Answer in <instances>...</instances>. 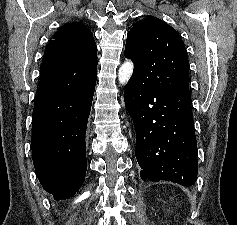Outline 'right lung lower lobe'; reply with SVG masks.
<instances>
[{
    "mask_svg": "<svg viewBox=\"0 0 237 225\" xmlns=\"http://www.w3.org/2000/svg\"><path fill=\"white\" fill-rule=\"evenodd\" d=\"M96 79L59 94L36 96L31 149L36 175L55 200L72 197L86 170L85 135Z\"/></svg>",
    "mask_w": 237,
    "mask_h": 225,
    "instance_id": "right-lung-lower-lobe-1",
    "label": "right lung lower lobe"
}]
</instances>
